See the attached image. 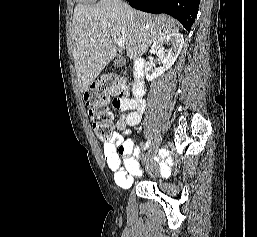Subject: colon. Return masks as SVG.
Wrapping results in <instances>:
<instances>
[{"mask_svg": "<svg viewBox=\"0 0 257 237\" xmlns=\"http://www.w3.org/2000/svg\"><path fill=\"white\" fill-rule=\"evenodd\" d=\"M129 92L127 82L117 75L103 76L95 81L85 93L93 130L100 141L107 142L113 135V114L108 108V102L125 98Z\"/></svg>", "mask_w": 257, "mask_h": 237, "instance_id": "obj_1", "label": "colon"}]
</instances>
